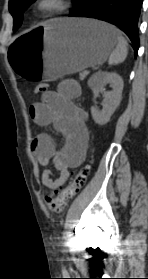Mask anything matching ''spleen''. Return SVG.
Instances as JSON below:
<instances>
[{
    "mask_svg": "<svg viewBox=\"0 0 148 279\" xmlns=\"http://www.w3.org/2000/svg\"><path fill=\"white\" fill-rule=\"evenodd\" d=\"M127 54L128 43L126 39L121 34H119L117 37V46L109 57V65H116L122 63L126 59ZM93 79L94 78H92L89 83H91Z\"/></svg>",
    "mask_w": 148,
    "mask_h": 279,
    "instance_id": "obj_1",
    "label": "spleen"
}]
</instances>
